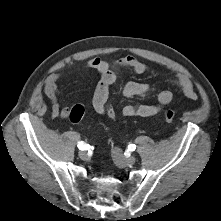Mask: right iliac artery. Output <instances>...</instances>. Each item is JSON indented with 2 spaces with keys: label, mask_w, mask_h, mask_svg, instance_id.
I'll return each mask as SVG.
<instances>
[{
  "label": "right iliac artery",
  "mask_w": 221,
  "mask_h": 221,
  "mask_svg": "<svg viewBox=\"0 0 221 221\" xmlns=\"http://www.w3.org/2000/svg\"><path fill=\"white\" fill-rule=\"evenodd\" d=\"M77 146L80 150H87L88 148H90L89 144H86L84 142H79Z\"/></svg>",
  "instance_id": "obj_1"
}]
</instances>
